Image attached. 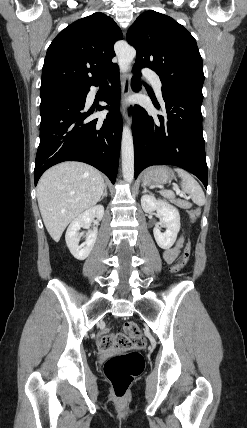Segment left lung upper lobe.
I'll return each mask as SVG.
<instances>
[{"label":"left lung upper lobe","instance_id":"5c2ea615","mask_svg":"<svg viewBox=\"0 0 247 428\" xmlns=\"http://www.w3.org/2000/svg\"><path fill=\"white\" fill-rule=\"evenodd\" d=\"M136 51L134 68L149 67L162 82V91L203 98L202 58L194 37L174 19L149 10L127 32Z\"/></svg>","mask_w":247,"mask_h":428}]
</instances>
